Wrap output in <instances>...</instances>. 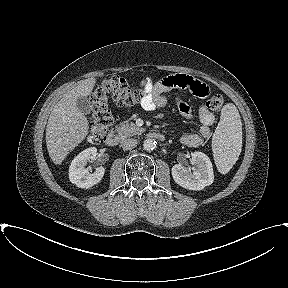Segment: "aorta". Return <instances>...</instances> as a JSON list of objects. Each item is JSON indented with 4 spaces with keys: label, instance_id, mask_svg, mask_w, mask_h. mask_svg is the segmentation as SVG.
I'll use <instances>...</instances> for the list:
<instances>
[{
    "label": "aorta",
    "instance_id": "obj_1",
    "mask_svg": "<svg viewBox=\"0 0 288 288\" xmlns=\"http://www.w3.org/2000/svg\"><path fill=\"white\" fill-rule=\"evenodd\" d=\"M157 146V142L154 139H146L143 142V148L146 151H153Z\"/></svg>",
    "mask_w": 288,
    "mask_h": 288
}]
</instances>
